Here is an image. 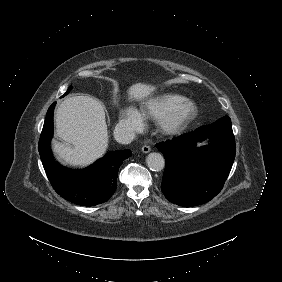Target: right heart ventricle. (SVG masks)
I'll return each mask as SVG.
<instances>
[{
  "instance_id": "obj_1",
  "label": "right heart ventricle",
  "mask_w": 282,
  "mask_h": 282,
  "mask_svg": "<svg viewBox=\"0 0 282 282\" xmlns=\"http://www.w3.org/2000/svg\"><path fill=\"white\" fill-rule=\"evenodd\" d=\"M182 103L180 97L168 96L161 98L152 106V112L158 116H166L170 114L176 107Z\"/></svg>"
}]
</instances>
